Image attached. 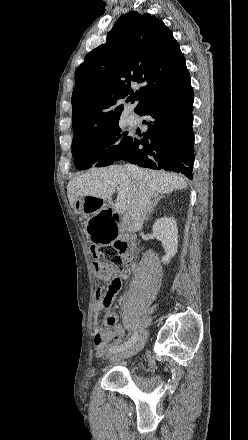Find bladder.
<instances>
[{"mask_svg":"<svg viewBox=\"0 0 248 440\" xmlns=\"http://www.w3.org/2000/svg\"><path fill=\"white\" fill-rule=\"evenodd\" d=\"M141 368L140 367H133L130 370L131 375L133 376H138L141 373Z\"/></svg>","mask_w":248,"mask_h":440,"instance_id":"obj_1","label":"bladder"}]
</instances>
